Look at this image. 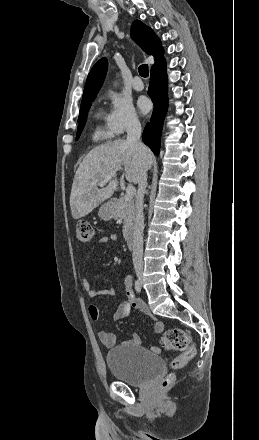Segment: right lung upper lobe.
<instances>
[{
    "label": "right lung upper lobe",
    "instance_id": "obj_1",
    "mask_svg": "<svg viewBox=\"0 0 259 440\" xmlns=\"http://www.w3.org/2000/svg\"><path fill=\"white\" fill-rule=\"evenodd\" d=\"M131 36L143 51L154 56V66L164 59V50L161 46L160 39L154 34L150 27L139 20H135L131 26ZM107 66L108 62L106 58L100 59L93 66L87 77L82 101L95 99L104 81Z\"/></svg>",
    "mask_w": 259,
    "mask_h": 440
}]
</instances>
